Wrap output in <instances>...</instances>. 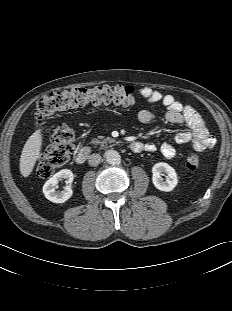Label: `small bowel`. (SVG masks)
Returning <instances> with one entry per match:
<instances>
[{
  "mask_svg": "<svg viewBox=\"0 0 232 311\" xmlns=\"http://www.w3.org/2000/svg\"><path fill=\"white\" fill-rule=\"evenodd\" d=\"M140 92L148 102L161 103L165 106L166 121L187 127V130L175 135L174 139L178 145L184 146L189 141H192L193 147L197 151H204L215 145L214 138L210 136L203 119L193 107L184 105L177 101L174 96L164 94L151 87H143ZM137 118L139 122L148 124L155 120V114L148 109H141L137 114ZM144 149L147 152H154L157 147L153 143H147ZM159 150L167 159L174 158L178 152L177 148L168 142L162 143Z\"/></svg>",
  "mask_w": 232,
  "mask_h": 311,
  "instance_id": "c3829d8e",
  "label": "small bowel"
}]
</instances>
